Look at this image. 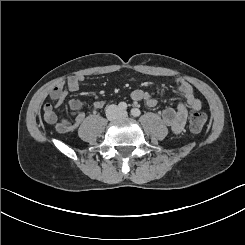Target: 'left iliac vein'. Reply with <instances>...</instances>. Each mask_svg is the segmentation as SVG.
I'll return each instance as SVG.
<instances>
[{"label": "left iliac vein", "mask_w": 245, "mask_h": 245, "mask_svg": "<svg viewBox=\"0 0 245 245\" xmlns=\"http://www.w3.org/2000/svg\"><path fill=\"white\" fill-rule=\"evenodd\" d=\"M128 116V113L126 111H121L119 114L120 118H126Z\"/></svg>", "instance_id": "4c4485c4"}]
</instances>
